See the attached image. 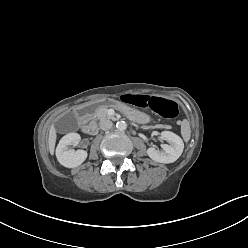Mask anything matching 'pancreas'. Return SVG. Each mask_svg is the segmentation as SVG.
Returning <instances> with one entry per match:
<instances>
[{"label":"pancreas","mask_w":248,"mask_h":248,"mask_svg":"<svg viewBox=\"0 0 248 248\" xmlns=\"http://www.w3.org/2000/svg\"><path fill=\"white\" fill-rule=\"evenodd\" d=\"M111 106H114V105H104V106L99 107L98 110L96 111L95 118L100 121H103L106 119H112L113 117L108 115V107H111Z\"/></svg>","instance_id":"cf45deb5"}]
</instances>
